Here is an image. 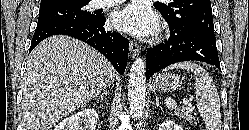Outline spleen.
<instances>
[{
	"label": "spleen",
	"instance_id": "1",
	"mask_svg": "<svg viewBox=\"0 0 249 130\" xmlns=\"http://www.w3.org/2000/svg\"><path fill=\"white\" fill-rule=\"evenodd\" d=\"M167 69H183L194 73L197 108L206 130H221L220 98L208 72L193 62H179ZM166 106L168 109H174L176 102L172 98H167Z\"/></svg>",
	"mask_w": 249,
	"mask_h": 130
}]
</instances>
